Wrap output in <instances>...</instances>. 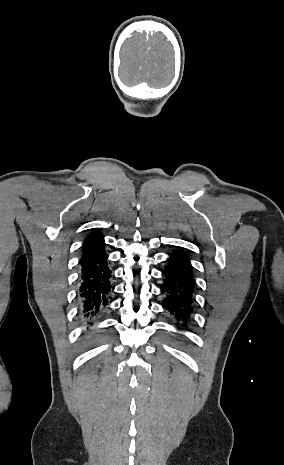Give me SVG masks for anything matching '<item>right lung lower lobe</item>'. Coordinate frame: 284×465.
I'll list each match as a JSON object with an SVG mask.
<instances>
[{
    "label": "right lung lower lobe",
    "instance_id": "obj_1",
    "mask_svg": "<svg viewBox=\"0 0 284 465\" xmlns=\"http://www.w3.org/2000/svg\"><path fill=\"white\" fill-rule=\"evenodd\" d=\"M107 257L105 243L101 238L83 250L80 259L81 286L78 297L82 308L81 314L87 325L97 321L111 301L114 276L108 267Z\"/></svg>",
    "mask_w": 284,
    "mask_h": 465
}]
</instances>
